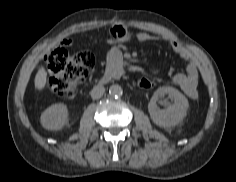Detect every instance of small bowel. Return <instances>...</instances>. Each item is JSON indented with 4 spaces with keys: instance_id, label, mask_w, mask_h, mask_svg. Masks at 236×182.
I'll list each match as a JSON object with an SVG mask.
<instances>
[{
    "instance_id": "obj_1",
    "label": "small bowel",
    "mask_w": 236,
    "mask_h": 182,
    "mask_svg": "<svg viewBox=\"0 0 236 182\" xmlns=\"http://www.w3.org/2000/svg\"><path fill=\"white\" fill-rule=\"evenodd\" d=\"M112 39L108 41L109 45H117L125 43L131 40V35L127 29L122 26H113L110 30ZM140 42L161 39L167 41L170 48L175 52L181 59L186 62V71L184 73H177L172 77V82L180 87V89L191 99L198 97V81L199 71L198 65L193 54L188 51L179 41L170 38L167 35L154 36L145 32H140L136 36ZM63 44L69 46L71 44L70 39H64Z\"/></svg>"
}]
</instances>
